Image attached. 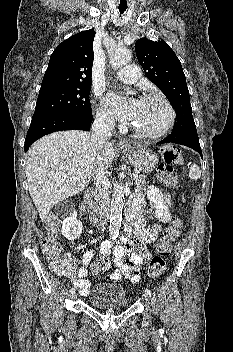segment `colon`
<instances>
[{"label": "colon", "instance_id": "5ec220e1", "mask_svg": "<svg viewBox=\"0 0 233 352\" xmlns=\"http://www.w3.org/2000/svg\"><path fill=\"white\" fill-rule=\"evenodd\" d=\"M161 163L157 168L158 179L168 187H174L177 184L176 175L173 165L182 164L183 159L178 147L165 145L160 149ZM58 219L50 217L46 223L47 236L40 241V248L44 256L50 261L51 269L59 274L64 275L69 271L67 262L60 258V246L56 241ZM183 221L179 218L174 219L164 230L161 240L156 246V254L152 257L149 267L148 276L153 279L160 276L165 268L166 258L169 256L172 244L175 242L183 229ZM111 267L109 255L102 254L91 265L93 274H98L102 270Z\"/></svg>", "mask_w": 233, "mask_h": 352}]
</instances>
